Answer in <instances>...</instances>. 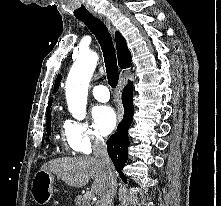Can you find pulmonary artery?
Here are the masks:
<instances>
[{"label":"pulmonary artery","mask_w":221,"mask_h":206,"mask_svg":"<svg viewBox=\"0 0 221 206\" xmlns=\"http://www.w3.org/2000/svg\"><path fill=\"white\" fill-rule=\"evenodd\" d=\"M92 94L100 102H106L110 98L109 89L104 85L94 86L92 89Z\"/></svg>","instance_id":"1"}]
</instances>
